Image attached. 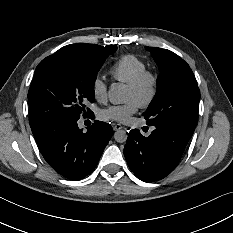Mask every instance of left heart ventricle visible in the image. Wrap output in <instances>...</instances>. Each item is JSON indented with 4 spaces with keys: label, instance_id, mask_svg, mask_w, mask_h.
<instances>
[{
    "label": "left heart ventricle",
    "instance_id": "1",
    "mask_svg": "<svg viewBox=\"0 0 233 233\" xmlns=\"http://www.w3.org/2000/svg\"><path fill=\"white\" fill-rule=\"evenodd\" d=\"M145 94H146L145 90L134 91V90H131L129 88L126 89V98H127V100L135 99V100H137L138 102L141 103L142 100L145 97Z\"/></svg>",
    "mask_w": 233,
    "mask_h": 233
}]
</instances>
